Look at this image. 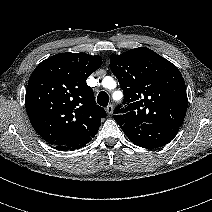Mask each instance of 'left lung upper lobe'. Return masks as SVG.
Here are the masks:
<instances>
[{
	"label": "left lung upper lobe",
	"instance_id": "left-lung-upper-lobe-1",
	"mask_svg": "<svg viewBox=\"0 0 212 212\" xmlns=\"http://www.w3.org/2000/svg\"><path fill=\"white\" fill-rule=\"evenodd\" d=\"M110 69L124 93L125 108L114 110L123 131L142 124L182 125L188 100L185 82L174 64L140 47L111 55Z\"/></svg>",
	"mask_w": 212,
	"mask_h": 212
}]
</instances>
